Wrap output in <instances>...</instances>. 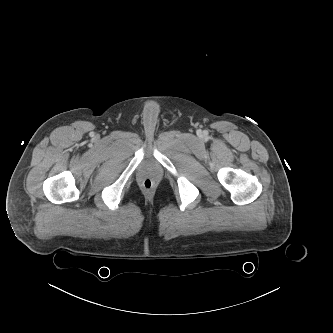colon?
<instances>
[{"label":"colon","instance_id":"1","mask_svg":"<svg viewBox=\"0 0 333 333\" xmlns=\"http://www.w3.org/2000/svg\"><path fill=\"white\" fill-rule=\"evenodd\" d=\"M141 185L145 190H151L153 187V181L151 179H144Z\"/></svg>","mask_w":333,"mask_h":333}]
</instances>
